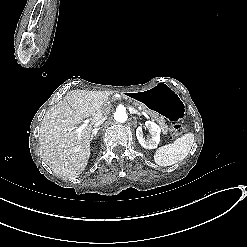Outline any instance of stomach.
I'll list each match as a JSON object with an SVG mask.
<instances>
[{"label": "stomach", "instance_id": "obj_1", "mask_svg": "<svg viewBox=\"0 0 247 247\" xmlns=\"http://www.w3.org/2000/svg\"><path fill=\"white\" fill-rule=\"evenodd\" d=\"M128 95L169 121H180L186 113L184 101L166 84H157Z\"/></svg>", "mask_w": 247, "mask_h": 247}]
</instances>
